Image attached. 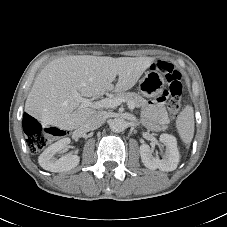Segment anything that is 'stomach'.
<instances>
[{"mask_svg":"<svg viewBox=\"0 0 227 227\" xmlns=\"http://www.w3.org/2000/svg\"><path fill=\"white\" fill-rule=\"evenodd\" d=\"M164 84L162 74L151 68L139 81V90L146 97H156L162 93Z\"/></svg>","mask_w":227,"mask_h":227,"instance_id":"1","label":"stomach"}]
</instances>
